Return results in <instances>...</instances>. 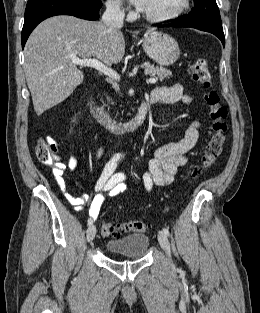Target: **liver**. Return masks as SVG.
Returning a JSON list of instances; mask_svg holds the SVG:
<instances>
[{"instance_id": "liver-1", "label": "liver", "mask_w": 260, "mask_h": 313, "mask_svg": "<svg viewBox=\"0 0 260 313\" xmlns=\"http://www.w3.org/2000/svg\"><path fill=\"white\" fill-rule=\"evenodd\" d=\"M155 29H148L151 33ZM125 53L120 27L59 15L41 22L24 48V72L37 115L59 104L82 84L84 74L71 57H96L107 66Z\"/></svg>"}]
</instances>
